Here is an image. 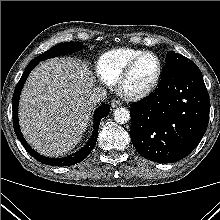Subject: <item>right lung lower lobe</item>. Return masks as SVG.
Wrapping results in <instances>:
<instances>
[{"instance_id": "98d812e1", "label": "right lung lower lobe", "mask_w": 220, "mask_h": 220, "mask_svg": "<svg viewBox=\"0 0 220 220\" xmlns=\"http://www.w3.org/2000/svg\"><path fill=\"white\" fill-rule=\"evenodd\" d=\"M37 64L38 63L35 61H31L28 64L27 68L25 69L22 77L20 78V80L14 90L12 104H13V126H14L15 133H16L18 139L20 140L21 144L24 146V148L36 160H38L44 164L51 165V166H69V165L77 164V163L81 162L82 160H84L90 154L92 149L94 148L96 141H97L98 127H99L100 120L109 114L110 105L103 104L95 111L93 135L90 138L89 142L81 150L77 151L76 153H74L70 156L64 157V158H48V157H45V156L38 154L25 141V139L21 133V130L19 127V122H18V103H19L20 93H21V90L24 86V83H25L28 75L30 74L31 70Z\"/></svg>"}]
</instances>
